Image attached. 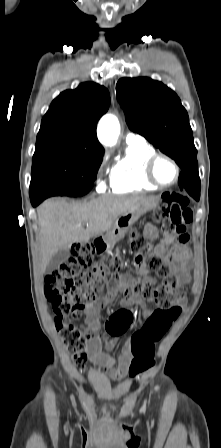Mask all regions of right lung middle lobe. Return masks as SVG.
<instances>
[{"label": "right lung middle lobe", "mask_w": 221, "mask_h": 448, "mask_svg": "<svg viewBox=\"0 0 221 448\" xmlns=\"http://www.w3.org/2000/svg\"><path fill=\"white\" fill-rule=\"evenodd\" d=\"M103 153L72 145L36 148L30 189L45 188L62 196H82L94 185Z\"/></svg>", "instance_id": "1"}]
</instances>
